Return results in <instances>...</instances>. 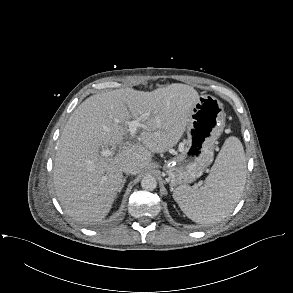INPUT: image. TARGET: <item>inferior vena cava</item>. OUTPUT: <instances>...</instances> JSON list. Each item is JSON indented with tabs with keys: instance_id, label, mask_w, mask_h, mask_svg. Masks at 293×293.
Masks as SVG:
<instances>
[{
	"instance_id": "1",
	"label": "inferior vena cava",
	"mask_w": 293,
	"mask_h": 293,
	"mask_svg": "<svg viewBox=\"0 0 293 293\" xmlns=\"http://www.w3.org/2000/svg\"><path fill=\"white\" fill-rule=\"evenodd\" d=\"M135 166L132 163H126L122 167V171L125 172L126 174H132L134 172Z\"/></svg>"
}]
</instances>
